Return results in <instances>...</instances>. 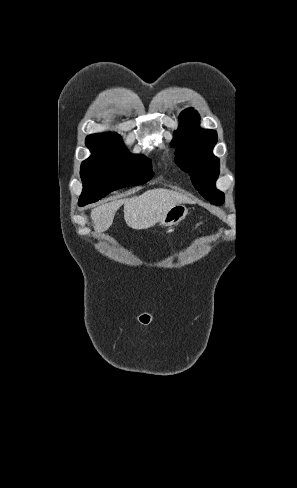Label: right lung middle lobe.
<instances>
[{"label": "right lung middle lobe", "instance_id": "1", "mask_svg": "<svg viewBox=\"0 0 297 488\" xmlns=\"http://www.w3.org/2000/svg\"><path fill=\"white\" fill-rule=\"evenodd\" d=\"M81 164L83 192L79 206L98 201L119 188L144 184L154 173L151 161L130 154L120 138L105 139Z\"/></svg>", "mask_w": 297, "mask_h": 488}]
</instances>
